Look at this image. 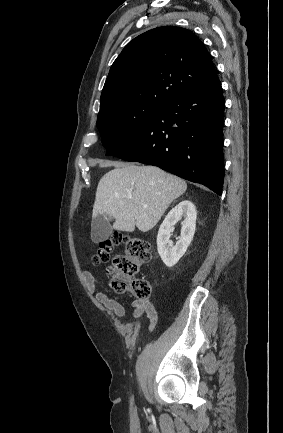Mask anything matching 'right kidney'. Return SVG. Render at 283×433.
Listing matches in <instances>:
<instances>
[{
    "label": "right kidney",
    "mask_w": 283,
    "mask_h": 433,
    "mask_svg": "<svg viewBox=\"0 0 283 433\" xmlns=\"http://www.w3.org/2000/svg\"><path fill=\"white\" fill-rule=\"evenodd\" d=\"M184 218L181 223V235L176 245L170 241L173 226ZM197 212L191 201L184 200L176 205L165 217L157 235L158 253L167 267H173L185 254L191 243L196 228Z\"/></svg>",
    "instance_id": "ca27d5eb"
}]
</instances>
